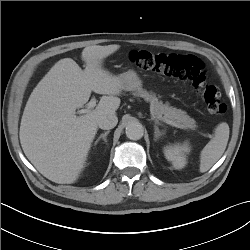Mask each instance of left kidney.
<instances>
[{"label":"left kidney","mask_w":250,"mask_h":250,"mask_svg":"<svg viewBox=\"0 0 250 250\" xmlns=\"http://www.w3.org/2000/svg\"><path fill=\"white\" fill-rule=\"evenodd\" d=\"M189 152L190 147L187 143L173 144L164 147V155L166 159L172 162L176 169H182L186 165V154Z\"/></svg>","instance_id":"1"}]
</instances>
